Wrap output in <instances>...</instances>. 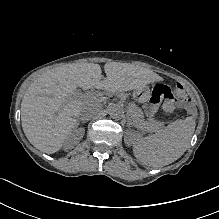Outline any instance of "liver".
I'll return each mask as SVG.
<instances>
[{"mask_svg":"<svg viewBox=\"0 0 219 219\" xmlns=\"http://www.w3.org/2000/svg\"><path fill=\"white\" fill-rule=\"evenodd\" d=\"M102 79L99 64H67L41 73L27 88L21 102L22 128L28 141L47 154L57 152L77 124L81 112L94 116L104 100L92 92L84 99L83 90L126 92L151 82L148 69L133 64L107 63Z\"/></svg>","mask_w":219,"mask_h":219,"instance_id":"liver-1","label":"liver"}]
</instances>
